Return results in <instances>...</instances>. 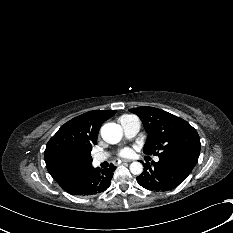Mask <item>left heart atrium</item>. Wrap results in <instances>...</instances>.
Instances as JSON below:
<instances>
[{
  "instance_id": "left-heart-atrium-1",
  "label": "left heart atrium",
  "mask_w": 233,
  "mask_h": 233,
  "mask_svg": "<svg viewBox=\"0 0 233 233\" xmlns=\"http://www.w3.org/2000/svg\"><path fill=\"white\" fill-rule=\"evenodd\" d=\"M133 155V150L131 148H124L119 152V156L123 158H129Z\"/></svg>"
}]
</instances>
